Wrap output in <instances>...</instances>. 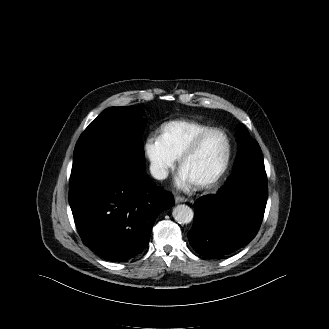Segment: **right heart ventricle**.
<instances>
[{"instance_id":"e07e8e85","label":"right heart ventricle","mask_w":329,"mask_h":329,"mask_svg":"<svg viewBox=\"0 0 329 329\" xmlns=\"http://www.w3.org/2000/svg\"><path fill=\"white\" fill-rule=\"evenodd\" d=\"M209 128L208 125L196 121L174 120L160 127L158 138L165 148L178 159L191 141Z\"/></svg>"}]
</instances>
